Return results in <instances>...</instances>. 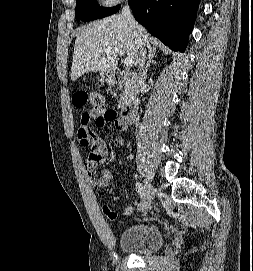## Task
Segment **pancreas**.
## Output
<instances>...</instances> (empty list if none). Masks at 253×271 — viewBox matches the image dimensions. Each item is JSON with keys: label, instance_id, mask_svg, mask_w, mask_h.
Here are the masks:
<instances>
[{"label": "pancreas", "instance_id": "cf45deb5", "mask_svg": "<svg viewBox=\"0 0 253 271\" xmlns=\"http://www.w3.org/2000/svg\"><path fill=\"white\" fill-rule=\"evenodd\" d=\"M134 95L133 81L126 82L124 84V90L120 95L119 107H124Z\"/></svg>", "mask_w": 253, "mask_h": 271}]
</instances>
